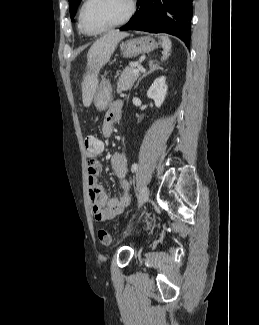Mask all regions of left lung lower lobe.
<instances>
[{"mask_svg": "<svg viewBox=\"0 0 259 325\" xmlns=\"http://www.w3.org/2000/svg\"><path fill=\"white\" fill-rule=\"evenodd\" d=\"M193 0H137V10L120 30L168 33L190 45Z\"/></svg>", "mask_w": 259, "mask_h": 325, "instance_id": "left-lung-lower-lobe-1", "label": "left lung lower lobe"}]
</instances>
